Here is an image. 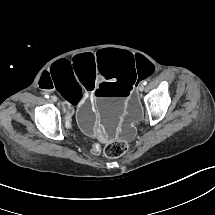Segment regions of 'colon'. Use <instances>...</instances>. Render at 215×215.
<instances>
[{
	"label": "colon",
	"instance_id": "5ec220e1",
	"mask_svg": "<svg viewBox=\"0 0 215 215\" xmlns=\"http://www.w3.org/2000/svg\"><path fill=\"white\" fill-rule=\"evenodd\" d=\"M126 150V144L124 142L117 141L105 146L104 155L108 158H114L123 155Z\"/></svg>",
	"mask_w": 215,
	"mask_h": 215
}]
</instances>
